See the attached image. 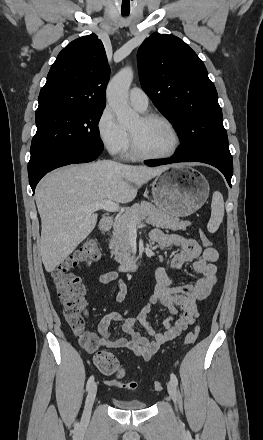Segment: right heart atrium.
I'll use <instances>...</instances> for the list:
<instances>
[{"label": "right heart atrium", "mask_w": 263, "mask_h": 440, "mask_svg": "<svg viewBox=\"0 0 263 440\" xmlns=\"http://www.w3.org/2000/svg\"><path fill=\"white\" fill-rule=\"evenodd\" d=\"M98 138L110 153L124 151L129 143V135L108 107L104 108L97 121Z\"/></svg>", "instance_id": "1"}]
</instances>
